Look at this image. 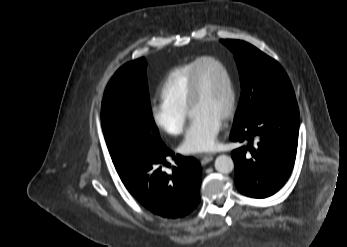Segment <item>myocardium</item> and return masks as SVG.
<instances>
[{"label": "myocardium", "mask_w": 347, "mask_h": 247, "mask_svg": "<svg viewBox=\"0 0 347 247\" xmlns=\"http://www.w3.org/2000/svg\"><path fill=\"white\" fill-rule=\"evenodd\" d=\"M203 63L214 64L218 66L225 74V77L228 83L229 102H228L226 112L223 116V120L227 121L233 117L236 110V104H237L236 87H235V83H234V79L231 74V71L229 70L227 65L222 60L213 56H204L199 58L197 60L195 67L193 68L190 82H189V87H188L187 110L190 113L192 106L197 102V100L200 97V83H199V77H198V70Z\"/></svg>", "instance_id": "f54148a6"}]
</instances>
